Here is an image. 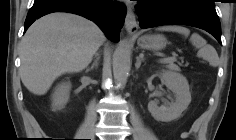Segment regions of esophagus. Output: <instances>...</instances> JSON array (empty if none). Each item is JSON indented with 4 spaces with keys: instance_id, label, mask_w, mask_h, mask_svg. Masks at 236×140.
Returning <instances> with one entry per match:
<instances>
[{
    "instance_id": "34e87169",
    "label": "esophagus",
    "mask_w": 236,
    "mask_h": 140,
    "mask_svg": "<svg viewBox=\"0 0 236 140\" xmlns=\"http://www.w3.org/2000/svg\"><path fill=\"white\" fill-rule=\"evenodd\" d=\"M125 27L129 34H135L138 31V23L135 13L132 9H128L125 18Z\"/></svg>"
}]
</instances>
